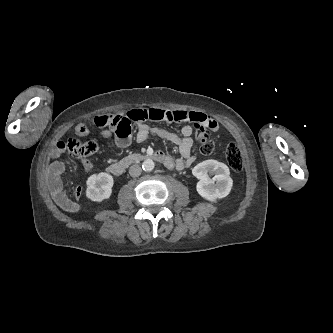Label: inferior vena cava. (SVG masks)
<instances>
[{
    "label": "inferior vena cava",
    "instance_id": "1",
    "mask_svg": "<svg viewBox=\"0 0 333 333\" xmlns=\"http://www.w3.org/2000/svg\"><path fill=\"white\" fill-rule=\"evenodd\" d=\"M141 172H142V169L139 165H133L129 169V174L132 177H138L141 174Z\"/></svg>",
    "mask_w": 333,
    "mask_h": 333
}]
</instances>
